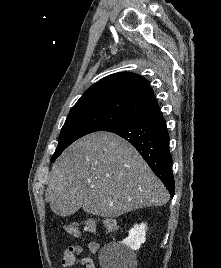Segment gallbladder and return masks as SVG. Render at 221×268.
I'll return each instance as SVG.
<instances>
[{"instance_id":"bac80fb5","label":"gallbladder","mask_w":221,"mask_h":268,"mask_svg":"<svg viewBox=\"0 0 221 268\" xmlns=\"http://www.w3.org/2000/svg\"><path fill=\"white\" fill-rule=\"evenodd\" d=\"M51 207V213H57V217H70L71 213L81 210V203L79 199H54Z\"/></svg>"}]
</instances>
